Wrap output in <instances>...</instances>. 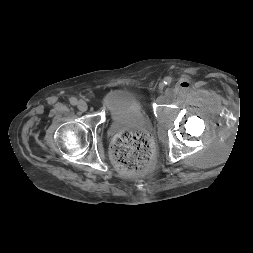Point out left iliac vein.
Returning <instances> with one entry per match:
<instances>
[{"instance_id": "4c4485c4", "label": "left iliac vein", "mask_w": 253, "mask_h": 253, "mask_svg": "<svg viewBox=\"0 0 253 253\" xmlns=\"http://www.w3.org/2000/svg\"><path fill=\"white\" fill-rule=\"evenodd\" d=\"M164 83L162 82V83H160V85H159V88L162 90L163 88H164Z\"/></svg>"}]
</instances>
